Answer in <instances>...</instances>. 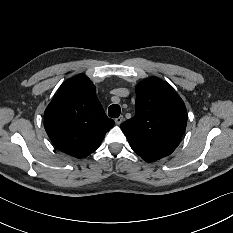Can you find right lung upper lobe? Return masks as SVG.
I'll list each match as a JSON object with an SVG mask.
<instances>
[{
	"mask_svg": "<svg viewBox=\"0 0 233 233\" xmlns=\"http://www.w3.org/2000/svg\"><path fill=\"white\" fill-rule=\"evenodd\" d=\"M113 125L97 99L95 86L82 75L60 86L44 114V127L53 144L79 159L97 150Z\"/></svg>",
	"mask_w": 233,
	"mask_h": 233,
	"instance_id": "1",
	"label": "right lung upper lobe"
}]
</instances>
